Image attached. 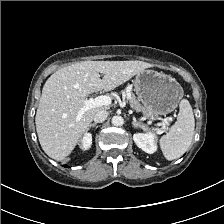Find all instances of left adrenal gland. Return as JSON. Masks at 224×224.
Instances as JSON below:
<instances>
[{
  "mask_svg": "<svg viewBox=\"0 0 224 224\" xmlns=\"http://www.w3.org/2000/svg\"><path fill=\"white\" fill-rule=\"evenodd\" d=\"M132 126L136 127V128H142L144 131L149 130L147 125H145L141 122H138L135 118H133Z\"/></svg>",
  "mask_w": 224,
  "mask_h": 224,
  "instance_id": "1",
  "label": "left adrenal gland"
}]
</instances>
